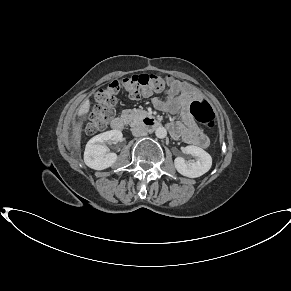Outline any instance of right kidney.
<instances>
[{
    "instance_id": "1",
    "label": "right kidney",
    "mask_w": 291,
    "mask_h": 291,
    "mask_svg": "<svg viewBox=\"0 0 291 291\" xmlns=\"http://www.w3.org/2000/svg\"><path fill=\"white\" fill-rule=\"evenodd\" d=\"M122 137L123 134L119 130H111L94 136L88 141L85 148V164L94 170H104L111 167L117 160V154L109 153L105 143L107 141L119 142Z\"/></svg>"
}]
</instances>
